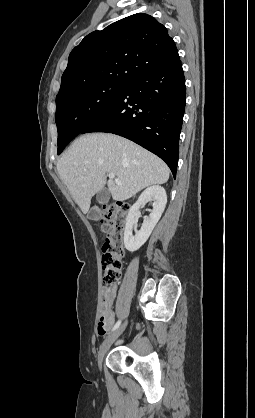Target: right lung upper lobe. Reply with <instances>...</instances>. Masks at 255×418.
Wrapping results in <instances>:
<instances>
[{
	"label": "right lung upper lobe",
	"mask_w": 255,
	"mask_h": 418,
	"mask_svg": "<svg viewBox=\"0 0 255 418\" xmlns=\"http://www.w3.org/2000/svg\"><path fill=\"white\" fill-rule=\"evenodd\" d=\"M179 59L165 26L150 15L134 14L90 33L72 50L58 95L97 82L129 84Z\"/></svg>",
	"instance_id": "obj_1"
}]
</instances>
